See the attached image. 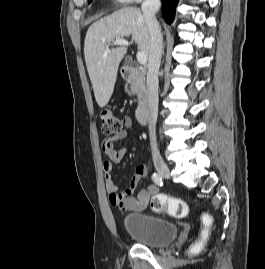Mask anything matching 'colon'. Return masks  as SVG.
I'll list each match as a JSON object with an SVG mask.
<instances>
[{"label": "colon", "instance_id": "1", "mask_svg": "<svg viewBox=\"0 0 265 269\" xmlns=\"http://www.w3.org/2000/svg\"><path fill=\"white\" fill-rule=\"evenodd\" d=\"M100 120L102 132L106 138L116 137L122 132L123 124L113 112L102 111ZM152 209L155 212L168 213L178 218H184L189 213V207L185 201L166 194H157L153 197Z\"/></svg>", "mask_w": 265, "mask_h": 269}]
</instances>
